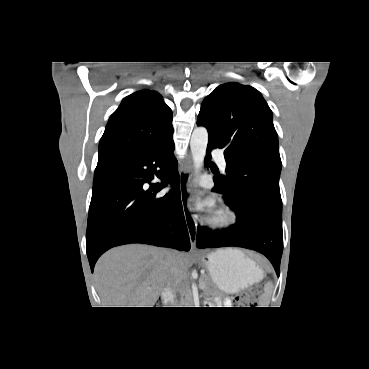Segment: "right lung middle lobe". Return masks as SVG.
Returning a JSON list of instances; mask_svg holds the SVG:
<instances>
[{"mask_svg": "<svg viewBox=\"0 0 369 369\" xmlns=\"http://www.w3.org/2000/svg\"><path fill=\"white\" fill-rule=\"evenodd\" d=\"M108 164H97V167L95 169V172H98L102 169H104Z\"/></svg>", "mask_w": 369, "mask_h": 369, "instance_id": "obj_1", "label": "right lung middle lobe"}]
</instances>
